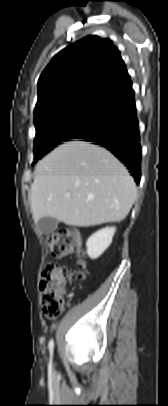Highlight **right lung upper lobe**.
I'll return each instance as SVG.
<instances>
[{
  "instance_id": "right-lung-upper-lobe-1",
  "label": "right lung upper lobe",
  "mask_w": 168,
  "mask_h": 406,
  "mask_svg": "<svg viewBox=\"0 0 168 406\" xmlns=\"http://www.w3.org/2000/svg\"><path fill=\"white\" fill-rule=\"evenodd\" d=\"M132 87L110 39L87 36L56 54L38 80L35 121L84 100L107 101Z\"/></svg>"
}]
</instances>
